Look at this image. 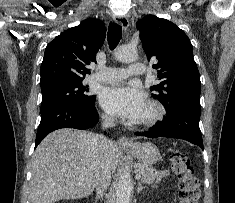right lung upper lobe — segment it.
Masks as SVG:
<instances>
[{
	"instance_id": "1",
	"label": "right lung upper lobe",
	"mask_w": 235,
	"mask_h": 203,
	"mask_svg": "<svg viewBox=\"0 0 235 203\" xmlns=\"http://www.w3.org/2000/svg\"><path fill=\"white\" fill-rule=\"evenodd\" d=\"M106 28L102 21L87 19L51 41L41 64L40 84L84 79L90 62L103 45Z\"/></svg>"
}]
</instances>
